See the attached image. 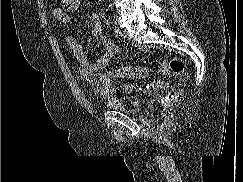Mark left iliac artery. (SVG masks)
Listing matches in <instances>:
<instances>
[{
	"label": "left iliac artery",
	"mask_w": 243,
	"mask_h": 182,
	"mask_svg": "<svg viewBox=\"0 0 243 182\" xmlns=\"http://www.w3.org/2000/svg\"><path fill=\"white\" fill-rule=\"evenodd\" d=\"M114 34L116 37L122 36V32L119 27H114Z\"/></svg>",
	"instance_id": "left-iliac-artery-1"
}]
</instances>
